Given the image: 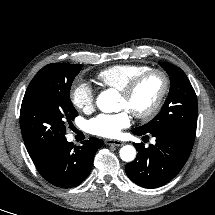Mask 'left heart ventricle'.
<instances>
[{"label": "left heart ventricle", "mask_w": 215, "mask_h": 215, "mask_svg": "<svg viewBox=\"0 0 215 215\" xmlns=\"http://www.w3.org/2000/svg\"><path fill=\"white\" fill-rule=\"evenodd\" d=\"M162 82L158 76L149 77L130 98L120 97V108L129 111H145L155 102L160 90Z\"/></svg>", "instance_id": "obj_1"}]
</instances>
